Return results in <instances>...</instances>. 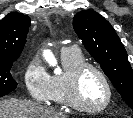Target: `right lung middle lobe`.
I'll list each match as a JSON object with an SVG mask.
<instances>
[{"label":"right lung middle lobe","mask_w":133,"mask_h":118,"mask_svg":"<svg viewBox=\"0 0 133 118\" xmlns=\"http://www.w3.org/2000/svg\"><path fill=\"white\" fill-rule=\"evenodd\" d=\"M15 61V59H0V97L17 88V82L10 73Z\"/></svg>","instance_id":"1"}]
</instances>
